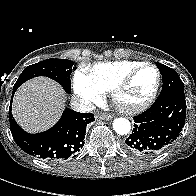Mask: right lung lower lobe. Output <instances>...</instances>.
Masks as SVG:
<instances>
[{"label":"right lung lower lobe","mask_w":196,"mask_h":196,"mask_svg":"<svg viewBox=\"0 0 196 196\" xmlns=\"http://www.w3.org/2000/svg\"><path fill=\"white\" fill-rule=\"evenodd\" d=\"M16 89H13V95ZM12 102V100H11ZM9 109L10 130L14 141L26 153L47 161L68 159L83 147L86 126L93 122L92 113H79L67 108L49 130L37 134L25 132L16 123Z\"/></svg>","instance_id":"1"}]
</instances>
